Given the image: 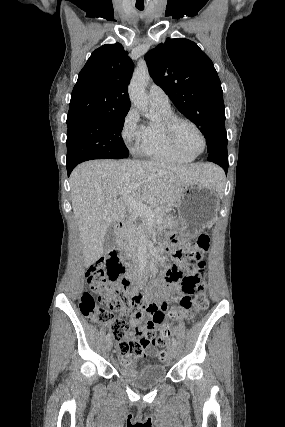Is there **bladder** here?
Listing matches in <instances>:
<instances>
[{
    "label": "bladder",
    "instance_id": "1",
    "mask_svg": "<svg viewBox=\"0 0 285 427\" xmlns=\"http://www.w3.org/2000/svg\"><path fill=\"white\" fill-rule=\"evenodd\" d=\"M117 373L127 382L136 387H149L161 382L166 376V369L160 364L141 367L128 366L117 368Z\"/></svg>",
    "mask_w": 285,
    "mask_h": 427
}]
</instances>
